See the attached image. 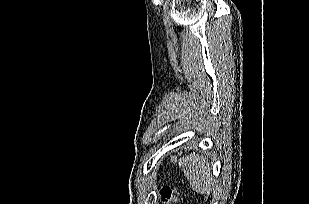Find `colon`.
<instances>
[{"instance_id":"colon-1","label":"colon","mask_w":309,"mask_h":204,"mask_svg":"<svg viewBox=\"0 0 309 204\" xmlns=\"http://www.w3.org/2000/svg\"><path fill=\"white\" fill-rule=\"evenodd\" d=\"M180 196V190L175 185L164 186L161 189V200L163 204H173Z\"/></svg>"}]
</instances>
